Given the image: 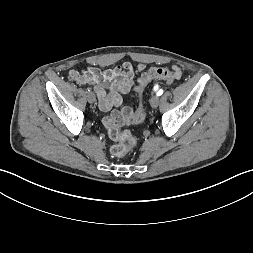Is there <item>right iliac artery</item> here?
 <instances>
[{
	"mask_svg": "<svg viewBox=\"0 0 253 253\" xmlns=\"http://www.w3.org/2000/svg\"><path fill=\"white\" fill-rule=\"evenodd\" d=\"M90 91H91V88L88 87V88L86 89V92H90Z\"/></svg>",
	"mask_w": 253,
	"mask_h": 253,
	"instance_id": "82829eb1",
	"label": "right iliac artery"
}]
</instances>
